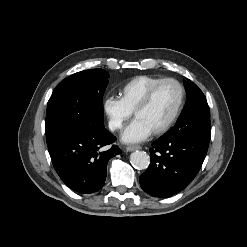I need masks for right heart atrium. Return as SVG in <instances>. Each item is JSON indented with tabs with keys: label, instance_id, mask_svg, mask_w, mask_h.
Listing matches in <instances>:
<instances>
[{
	"label": "right heart atrium",
	"instance_id": "d8ad5b80",
	"mask_svg": "<svg viewBox=\"0 0 247 247\" xmlns=\"http://www.w3.org/2000/svg\"><path fill=\"white\" fill-rule=\"evenodd\" d=\"M102 107L107 117L108 126L112 131L121 129L132 115V112L125 106L121 98L116 96L105 97Z\"/></svg>",
	"mask_w": 247,
	"mask_h": 247
}]
</instances>
